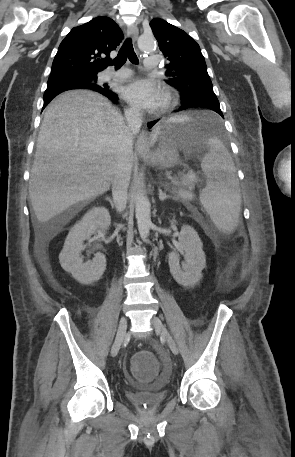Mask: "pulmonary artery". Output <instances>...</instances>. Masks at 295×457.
<instances>
[{"label": "pulmonary artery", "instance_id": "1", "mask_svg": "<svg viewBox=\"0 0 295 457\" xmlns=\"http://www.w3.org/2000/svg\"><path fill=\"white\" fill-rule=\"evenodd\" d=\"M159 60L156 56L151 55L145 58L144 66L146 69L152 70L158 67ZM131 76V71L127 69L120 70L118 72H105L102 74L101 78L104 81L110 80H125Z\"/></svg>", "mask_w": 295, "mask_h": 457}]
</instances>
